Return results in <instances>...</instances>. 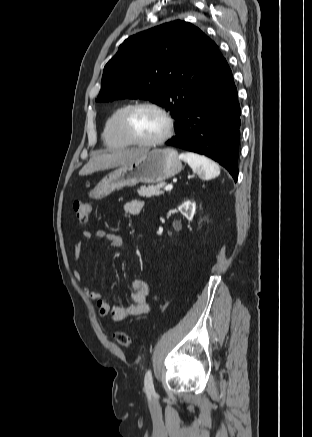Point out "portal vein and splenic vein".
Wrapping results in <instances>:
<instances>
[{
  "mask_svg": "<svg viewBox=\"0 0 312 437\" xmlns=\"http://www.w3.org/2000/svg\"><path fill=\"white\" fill-rule=\"evenodd\" d=\"M172 188H173L172 185H166V186L164 187V190H165V191H169V190H171Z\"/></svg>",
  "mask_w": 312,
  "mask_h": 437,
  "instance_id": "18ae733b",
  "label": "portal vein and splenic vein"
}]
</instances>
